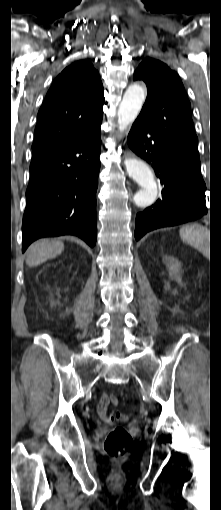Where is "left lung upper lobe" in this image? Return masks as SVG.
<instances>
[{"instance_id": "obj_1", "label": "left lung upper lobe", "mask_w": 221, "mask_h": 510, "mask_svg": "<svg viewBox=\"0 0 221 510\" xmlns=\"http://www.w3.org/2000/svg\"><path fill=\"white\" fill-rule=\"evenodd\" d=\"M134 80H143L148 90L138 118L160 138L199 156L191 105L178 74L163 62L146 58L135 71Z\"/></svg>"}]
</instances>
